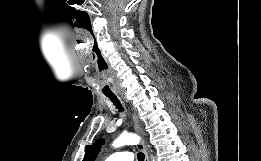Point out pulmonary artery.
I'll return each instance as SVG.
<instances>
[{"label":"pulmonary artery","instance_id":"obj_1","mask_svg":"<svg viewBox=\"0 0 261 161\" xmlns=\"http://www.w3.org/2000/svg\"><path fill=\"white\" fill-rule=\"evenodd\" d=\"M105 161H133V155L129 151L121 150L111 153Z\"/></svg>","mask_w":261,"mask_h":161}]
</instances>
